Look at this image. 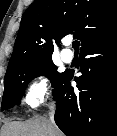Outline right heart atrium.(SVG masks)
<instances>
[{"label":"right heart atrium","mask_w":117,"mask_h":136,"mask_svg":"<svg viewBox=\"0 0 117 136\" xmlns=\"http://www.w3.org/2000/svg\"><path fill=\"white\" fill-rule=\"evenodd\" d=\"M50 93V79L45 73L40 72L27 85L24 100L29 106L37 107L49 97Z\"/></svg>","instance_id":"right-heart-atrium-1"}]
</instances>
